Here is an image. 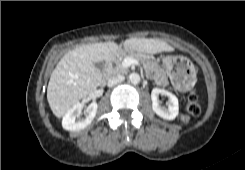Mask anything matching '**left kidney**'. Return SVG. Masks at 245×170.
I'll return each mask as SVG.
<instances>
[{
  "instance_id": "left-kidney-1",
  "label": "left kidney",
  "mask_w": 245,
  "mask_h": 170,
  "mask_svg": "<svg viewBox=\"0 0 245 170\" xmlns=\"http://www.w3.org/2000/svg\"><path fill=\"white\" fill-rule=\"evenodd\" d=\"M166 95L169 99L168 106H161L159 103V95ZM153 111L163 119L174 120L179 113L178 98L169 91L164 89L154 88L151 92Z\"/></svg>"
}]
</instances>
